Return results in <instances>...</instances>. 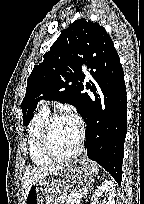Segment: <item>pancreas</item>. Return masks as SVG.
Segmentation results:
<instances>
[{
  "mask_svg": "<svg viewBox=\"0 0 144 204\" xmlns=\"http://www.w3.org/2000/svg\"><path fill=\"white\" fill-rule=\"evenodd\" d=\"M77 194L78 193H71V194L63 197L62 198V201H63L62 204H78Z\"/></svg>",
  "mask_w": 144,
  "mask_h": 204,
  "instance_id": "obj_1",
  "label": "pancreas"
}]
</instances>
